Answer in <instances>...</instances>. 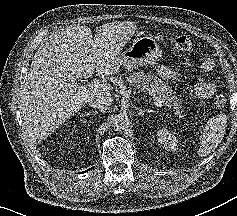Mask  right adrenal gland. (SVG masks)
I'll use <instances>...</instances> for the list:
<instances>
[{"mask_svg": "<svg viewBox=\"0 0 237 216\" xmlns=\"http://www.w3.org/2000/svg\"><path fill=\"white\" fill-rule=\"evenodd\" d=\"M96 114H98L97 111H92V112L87 113L86 116H88V115H93V116H95Z\"/></svg>", "mask_w": 237, "mask_h": 216, "instance_id": "right-adrenal-gland-1", "label": "right adrenal gland"}]
</instances>
